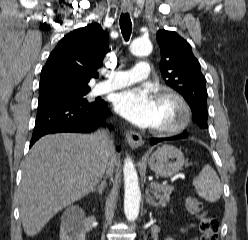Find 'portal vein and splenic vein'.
Segmentation results:
<instances>
[{
	"instance_id": "18ae733b",
	"label": "portal vein and splenic vein",
	"mask_w": 248,
	"mask_h": 240,
	"mask_svg": "<svg viewBox=\"0 0 248 240\" xmlns=\"http://www.w3.org/2000/svg\"><path fill=\"white\" fill-rule=\"evenodd\" d=\"M161 185H159L158 183H155V182H151L150 183V187L153 189H158L159 187H160ZM168 187H170V186H168Z\"/></svg>"
}]
</instances>
